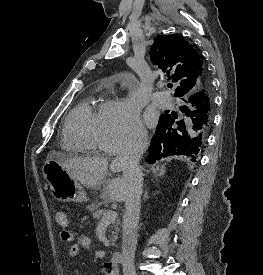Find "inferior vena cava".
<instances>
[{
	"mask_svg": "<svg viewBox=\"0 0 263 275\" xmlns=\"http://www.w3.org/2000/svg\"><path fill=\"white\" fill-rule=\"evenodd\" d=\"M148 147V137L142 133L126 142L115 159L127 183L126 212L123 217L122 266L124 275H136L134 255L137 244L143 175L139 161Z\"/></svg>",
	"mask_w": 263,
	"mask_h": 275,
	"instance_id": "inferior-vena-cava-1",
	"label": "inferior vena cava"
}]
</instances>
